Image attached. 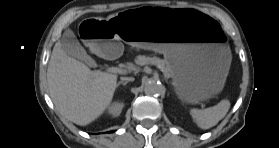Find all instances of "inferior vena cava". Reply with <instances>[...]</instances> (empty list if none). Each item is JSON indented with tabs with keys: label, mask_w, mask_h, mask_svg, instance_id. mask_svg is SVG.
Instances as JSON below:
<instances>
[{
	"label": "inferior vena cava",
	"mask_w": 279,
	"mask_h": 148,
	"mask_svg": "<svg viewBox=\"0 0 279 148\" xmlns=\"http://www.w3.org/2000/svg\"><path fill=\"white\" fill-rule=\"evenodd\" d=\"M121 80L122 81H133L134 80V78L133 77H121Z\"/></svg>",
	"instance_id": "obj_1"
}]
</instances>
